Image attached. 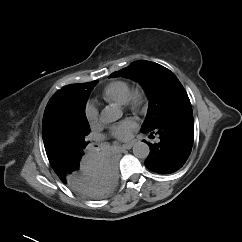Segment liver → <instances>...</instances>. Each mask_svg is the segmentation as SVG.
I'll return each mask as SVG.
<instances>
[{
  "label": "liver",
  "mask_w": 242,
  "mask_h": 242,
  "mask_svg": "<svg viewBox=\"0 0 242 242\" xmlns=\"http://www.w3.org/2000/svg\"><path fill=\"white\" fill-rule=\"evenodd\" d=\"M90 189L91 190H95V189H98L100 188V185L96 182V179H94L91 183H90ZM75 190V189H74Z\"/></svg>",
  "instance_id": "obj_1"
}]
</instances>
